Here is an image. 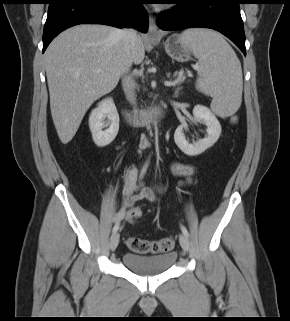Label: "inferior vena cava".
Segmentation results:
<instances>
[{"label":"inferior vena cava","instance_id":"1","mask_svg":"<svg viewBox=\"0 0 290 321\" xmlns=\"http://www.w3.org/2000/svg\"><path fill=\"white\" fill-rule=\"evenodd\" d=\"M120 36L122 43L124 45L125 50H132L135 46V42L137 39V34L134 29H124L120 31ZM123 88L125 91V94L129 101L132 103L135 102V91H134V83L130 80V77L127 76V74L124 75L123 80Z\"/></svg>","mask_w":290,"mask_h":321}]
</instances>
